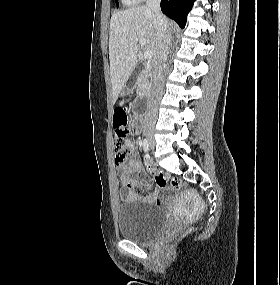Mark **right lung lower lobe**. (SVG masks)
Listing matches in <instances>:
<instances>
[{
  "mask_svg": "<svg viewBox=\"0 0 280 285\" xmlns=\"http://www.w3.org/2000/svg\"><path fill=\"white\" fill-rule=\"evenodd\" d=\"M195 0H161V10L178 25L184 28L187 14L192 8Z\"/></svg>",
  "mask_w": 280,
  "mask_h": 285,
  "instance_id": "obj_1",
  "label": "right lung lower lobe"
}]
</instances>
